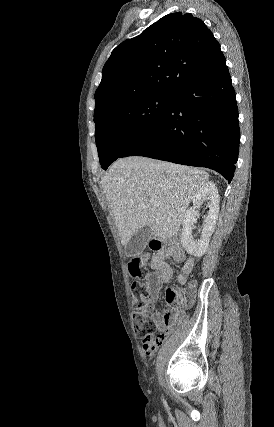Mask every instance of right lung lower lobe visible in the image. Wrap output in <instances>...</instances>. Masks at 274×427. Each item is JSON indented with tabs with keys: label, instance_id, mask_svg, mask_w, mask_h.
I'll return each instance as SVG.
<instances>
[{
	"label": "right lung lower lobe",
	"instance_id": "obj_1",
	"mask_svg": "<svg viewBox=\"0 0 274 427\" xmlns=\"http://www.w3.org/2000/svg\"><path fill=\"white\" fill-rule=\"evenodd\" d=\"M239 139L236 97L225 66L174 93L163 119L119 157L206 167L231 182Z\"/></svg>",
	"mask_w": 274,
	"mask_h": 427
}]
</instances>
